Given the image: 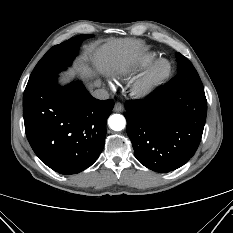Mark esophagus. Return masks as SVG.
<instances>
[{
  "mask_svg": "<svg viewBox=\"0 0 233 233\" xmlns=\"http://www.w3.org/2000/svg\"><path fill=\"white\" fill-rule=\"evenodd\" d=\"M124 110V106L121 102H117L114 106L115 112H122Z\"/></svg>",
  "mask_w": 233,
  "mask_h": 233,
  "instance_id": "esophagus-1",
  "label": "esophagus"
}]
</instances>
